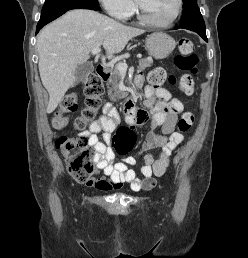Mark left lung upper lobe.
Segmentation results:
<instances>
[{"label": "left lung upper lobe", "mask_w": 248, "mask_h": 258, "mask_svg": "<svg viewBox=\"0 0 248 258\" xmlns=\"http://www.w3.org/2000/svg\"><path fill=\"white\" fill-rule=\"evenodd\" d=\"M184 10L182 13V20L180 25H187L189 23L204 21L197 5V0H182Z\"/></svg>", "instance_id": "obj_1"}]
</instances>
